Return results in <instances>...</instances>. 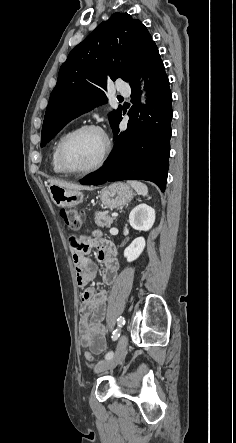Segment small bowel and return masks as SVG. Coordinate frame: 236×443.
<instances>
[{"label":"small bowel","instance_id":"small-bowel-1","mask_svg":"<svg viewBox=\"0 0 236 443\" xmlns=\"http://www.w3.org/2000/svg\"><path fill=\"white\" fill-rule=\"evenodd\" d=\"M70 247L76 267L77 284L80 287L93 281L98 272L92 259L86 256L92 248L97 249V259L103 265L100 274L104 283L111 285L116 281L119 262L116 259V248L110 241L104 240L96 233L95 237H71ZM107 291L96 292L87 288L81 297L79 306L78 331L82 346L90 347L95 353L105 348Z\"/></svg>","mask_w":236,"mask_h":443}]
</instances>
